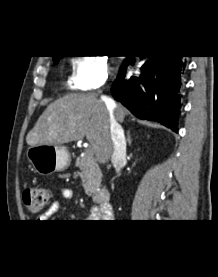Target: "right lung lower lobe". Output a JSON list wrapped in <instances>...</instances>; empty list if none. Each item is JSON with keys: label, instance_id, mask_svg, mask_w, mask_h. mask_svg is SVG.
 <instances>
[{"label": "right lung lower lobe", "instance_id": "obj_1", "mask_svg": "<svg viewBox=\"0 0 218 277\" xmlns=\"http://www.w3.org/2000/svg\"><path fill=\"white\" fill-rule=\"evenodd\" d=\"M147 58L138 77L124 78L126 67L133 62L127 58L114 81L112 95L136 117L160 122L177 132L180 114L181 78L185 69L182 56H141Z\"/></svg>", "mask_w": 218, "mask_h": 277}]
</instances>
